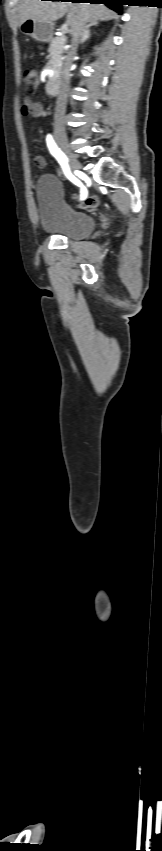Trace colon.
Listing matches in <instances>:
<instances>
[{"instance_id":"obj_1","label":"colon","mask_w":162,"mask_h":851,"mask_svg":"<svg viewBox=\"0 0 162 851\" xmlns=\"http://www.w3.org/2000/svg\"><path fill=\"white\" fill-rule=\"evenodd\" d=\"M24 80L26 84L27 92L33 93L36 91L39 85V74L34 69H27L24 71ZM77 204L82 209L95 208L99 205L100 199L97 195H90L86 198L82 199L81 196L76 197Z\"/></svg>"}]
</instances>
